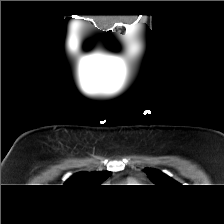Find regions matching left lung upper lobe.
<instances>
[{
	"label": "left lung upper lobe",
	"instance_id": "5c2ea615",
	"mask_svg": "<svg viewBox=\"0 0 224 224\" xmlns=\"http://www.w3.org/2000/svg\"><path fill=\"white\" fill-rule=\"evenodd\" d=\"M146 174L157 186H172L178 184L176 181L157 169L146 168Z\"/></svg>",
	"mask_w": 224,
	"mask_h": 224
}]
</instances>
